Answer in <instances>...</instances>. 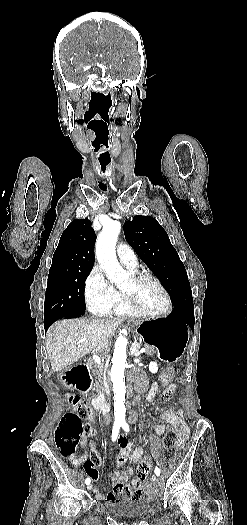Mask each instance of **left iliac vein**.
Wrapping results in <instances>:
<instances>
[{"label":"left iliac vein","mask_w":247,"mask_h":525,"mask_svg":"<svg viewBox=\"0 0 247 525\" xmlns=\"http://www.w3.org/2000/svg\"><path fill=\"white\" fill-rule=\"evenodd\" d=\"M157 480V477L155 475H152V481L155 482Z\"/></svg>","instance_id":"left-iliac-vein-1"}]
</instances>
